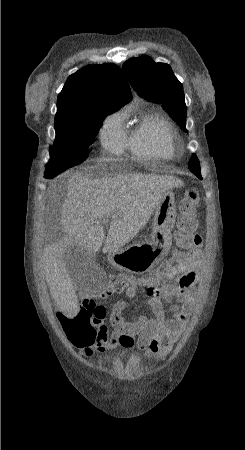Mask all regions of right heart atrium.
Listing matches in <instances>:
<instances>
[{"label": "right heart atrium", "mask_w": 245, "mask_h": 450, "mask_svg": "<svg viewBox=\"0 0 245 450\" xmlns=\"http://www.w3.org/2000/svg\"><path fill=\"white\" fill-rule=\"evenodd\" d=\"M100 141L111 154L119 155L126 148V137L123 129V118L120 113L108 116L100 130Z\"/></svg>", "instance_id": "1"}]
</instances>
